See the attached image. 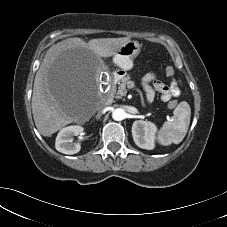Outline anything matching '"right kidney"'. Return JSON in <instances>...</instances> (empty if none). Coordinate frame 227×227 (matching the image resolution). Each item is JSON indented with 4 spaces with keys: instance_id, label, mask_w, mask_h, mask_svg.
<instances>
[{
    "instance_id": "1",
    "label": "right kidney",
    "mask_w": 227,
    "mask_h": 227,
    "mask_svg": "<svg viewBox=\"0 0 227 227\" xmlns=\"http://www.w3.org/2000/svg\"><path fill=\"white\" fill-rule=\"evenodd\" d=\"M83 130V127L79 125H71L61 129L56 137V150L68 155L78 153L81 145L73 143V138L74 136H82Z\"/></svg>"
}]
</instances>
